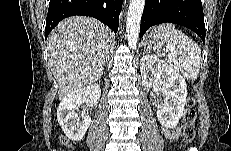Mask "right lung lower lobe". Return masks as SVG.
I'll use <instances>...</instances> for the list:
<instances>
[{"instance_id":"1","label":"right lung lower lobe","mask_w":231,"mask_h":151,"mask_svg":"<svg viewBox=\"0 0 231 151\" xmlns=\"http://www.w3.org/2000/svg\"><path fill=\"white\" fill-rule=\"evenodd\" d=\"M122 3V0H50L45 39L62 19L75 15L94 17L116 32Z\"/></svg>"}]
</instances>
